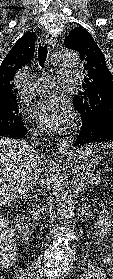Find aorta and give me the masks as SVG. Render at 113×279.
<instances>
[{
	"label": "aorta",
	"instance_id": "obj_1",
	"mask_svg": "<svg viewBox=\"0 0 113 279\" xmlns=\"http://www.w3.org/2000/svg\"><path fill=\"white\" fill-rule=\"evenodd\" d=\"M55 59L58 64L71 69L78 67L80 63L78 53L69 48L58 49L55 52ZM49 180L56 199L58 214L65 223L69 224L74 218L72 194L67 177L54 162L49 164Z\"/></svg>",
	"mask_w": 113,
	"mask_h": 279
}]
</instances>
